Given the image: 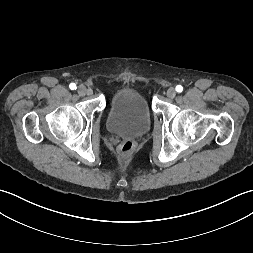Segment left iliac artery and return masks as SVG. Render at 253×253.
I'll use <instances>...</instances> for the list:
<instances>
[{"label": "left iliac artery", "instance_id": "obj_1", "mask_svg": "<svg viewBox=\"0 0 253 253\" xmlns=\"http://www.w3.org/2000/svg\"><path fill=\"white\" fill-rule=\"evenodd\" d=\"M176 91L181 93L183 91V87L181 85L176 86Z\"/></svg>", "mask_w": 253, "mask_h": 253}]
</instances>
